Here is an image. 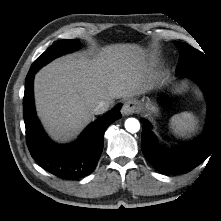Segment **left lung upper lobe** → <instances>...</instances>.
I'll return each instance as SVG.
<instances>
[{"mask_svg": "<svg viewBox=\"0 0 221 221\" xmlns=\"http://www.w3.org/2000/svg\"><path fill=\"white\" fill-rule=\"evenodd\" d=\"M175 46L180 52L176 74L200 73L211 77L217 84H220L216 73L202 52L183 42H176Z\"/></svg>", "mask_w": 221, "mask_h": 221, "instance_id": "left-lung-upper-lobe-1", "label": "left lung upper lobe"}]
</instances>
